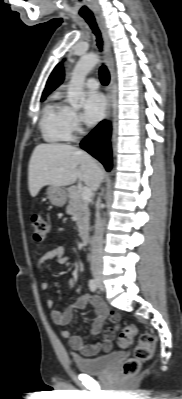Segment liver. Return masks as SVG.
Returning <instances> with one entry per match:
<instances>
[{"mask_svg": "<svg viewBox=\"0 0 182 399\" xmlns=\"http://www.w3.org/2000/svg\"><path fill=\"white\" fill-rule=\"evenodd\" d=\"M95 191L104 179V170L85 151L66 144H39L28 167V184L32 197L46 185L66 186L77 178Z\"/></svg>", "mask_w": 182, "mask_h": 399, "instance_id": "obj_1", "label": "liver"}]
</instances>
